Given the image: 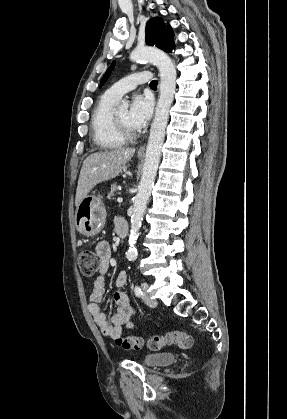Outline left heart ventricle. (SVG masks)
<instances>
[{"label":"left heart ventricle","instance_id":"left-heart-ventricle-1","mask_svg":"<svg viewBox=\"0 0 287 419\" xmlns=\"http://www.w3.org/2000/svg\"><path fill=\"white\" fill-rule=\"evenodd\" d=\"M116 115L125 128H127L130 131H133V129L129 125V112L127 109L116 111Z\"/></svg>","mask_w":287,"mask_h":419}]
</instances>
